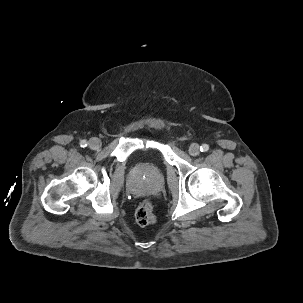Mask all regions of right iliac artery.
I'll return each instance as SVG.
<instances>
[{
    "label": "right iliac artery",
    "instance_id": "right-iliac-artery-1",
    "mask_svg": "<svg viewBox=\"0 0 303 303\" xmlns=\"http://www.w3.org/2000/svg\"><path fill=\"white\" fill-rule=\"evenodd\" d=\"M80 146L83 147V148H85L87 146V141L86 140H82L80 142Z\"/></svg>",
    "mask_w": 303,
    "mask_h": 303
}]
</instances>
